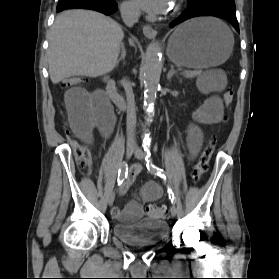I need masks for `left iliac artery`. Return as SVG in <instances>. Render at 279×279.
I'll return each mask as SVG.
<instances>
[{"mask_svg": "<svg viewBox=\"0 0 279 279\" xmlns=\"http://www.w3.org/2000/svg\"><path fill=\"white\" fill-rule=\"evenodd\" d=\"M144 150H145V160H146V167H147V169L152 174L158 175L159 177H161L164 180H166V173H165V171L163 169L155 166L152 163L150 148L146 147ZM168 195H169V199L171 200V202L175 203V196H174V193H173V191H172V189L170 187H168Z\"/></svg>", "mask_w": 279, "mask_h": 279, "instance_id": "1", "label": "left iliac artery"}]
</instances>
